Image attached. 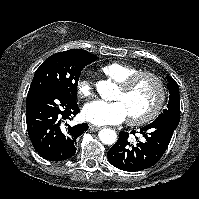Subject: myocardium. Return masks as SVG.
<instances>
[{"label": "myocardium", "mask_w": 199, "mask_h": 199, "mask_svg": "<svg viewBox=\"0 0 199 199\" xmlns=\"http://www.w3.org/2000/svg\"><path fill=\"white\" fill-rule=\"evenodd\" d=\"M146 78L151 79L156 84L157 97L151 109L143 116L140 117L128 116L127 121L132 126L144 125L153 121L159 115L166 99V87L164 81L159 75L150 71H140L128 77L123 82L119 83V88L122 91L127 92L131 90L133 87H135L140 81Z\"/></svg>", "instance_id": "myocardium-1"}]
</instances>
